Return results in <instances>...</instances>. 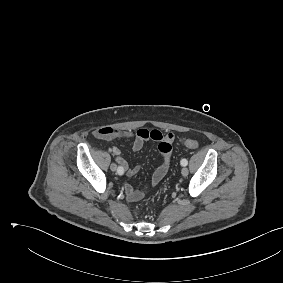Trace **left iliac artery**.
<instances>
[{
    "instance_id": "left-iliac-artery-1",
    "label": "left iliac artery",
    "mask_w": 283,
    "mask_h": 283,
    "mask_svg": "<svg viewBox=\"0 0 283 283\" xmlns=\"http://www.w3.org/2000/svg\"><path fill=\"white\" fill-rule=\"evenodd\" d=\"M180 163L182 166H186L188 164V161L186 159H182Z\"/></svg>"
}]
</instances>
